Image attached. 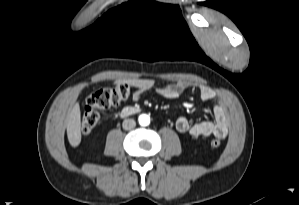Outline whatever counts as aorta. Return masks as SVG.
I'll return each mask as SVG.
<instances>
[{
    "label": "aorta",
    "instance_id": "1",
    "mask_svg": "<svg viewBox=\"0 0 299 205\" xmlns=\"http://www.w3.org/2000/svg\"><path fill=\"white\" fill-rule=\"evenodd\" d=\"M138 121L141 126H147L150 123V117L146 114H141L138 118Z\"/></svg>",
    "mask_w": 299,
    "mask_h": 205
}]
</instances>
